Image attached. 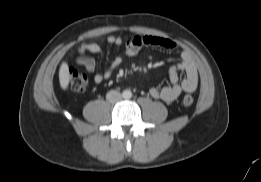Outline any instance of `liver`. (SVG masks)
Instances as JSON below:
<instances>
[{"mask_svg": "<svg viewBox=\"0 0 261 182\" xmlns=\"http://www.w3.org/2000/svg\"><path fill=\"white\" fill-rule=\"evenodd\" d=\"M69 66L66 62H63L59 70V82L63 90H66L70 81Z\"/></svg>", "mask_w": 261, "mask_h": 182, "instance_id": "6515ba94", "label": "liver"}]
</instances>
